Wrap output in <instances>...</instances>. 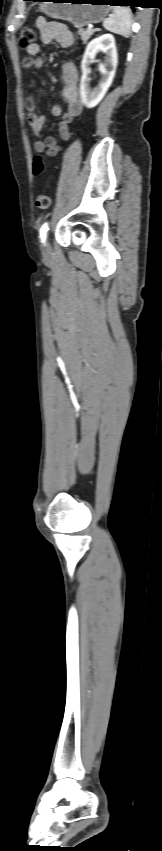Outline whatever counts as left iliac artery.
<instances>
[{"label": "left iliac artery", "instance_id": "left-iliac-artery-1", "mask_svg": "<svg viewBox=\"0 0 162 851\" xmlns=\"http://www.w3.org/2000/svg\"><path fill=\"white\" fill-rule=\"evenodd\" d=\"M47 231H48V223H44L42 225L41 229H40V238H41V242H43V243L45 242Z\"/></svg>", "mask_w": 162, "mask_h": 851}]
</instances>
